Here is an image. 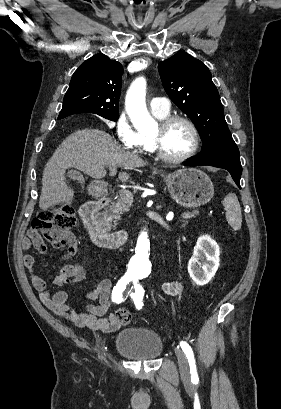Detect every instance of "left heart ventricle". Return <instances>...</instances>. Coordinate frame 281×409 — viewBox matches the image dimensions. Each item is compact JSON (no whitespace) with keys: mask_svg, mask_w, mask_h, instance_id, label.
I'll return each mask as SVG.
<instances>
[{"mask_svg":"<svg viewBox=\"0 0 281 409\" xmlns=\"http://www.w3.org/2000/svg\"><path fill=\"white\" fill-rule=\"evenodd\" d=\"M156 126L149 131L155 130ZM192 145V135L189 128L182 122L172 123L161 136L162 149L170 156L184 155Z\"/></svg>","mask_w":281,"mask_h":409,"instance_id":"left-heart-ventricle-1","label":"left heart ventricle"}]
</instances>
